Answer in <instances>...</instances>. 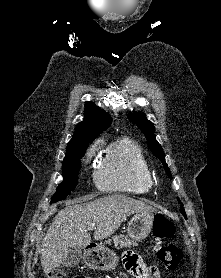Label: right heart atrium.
Here are the masks:
<instances>
[{"label":"right heart atrium","mask_w":221,"mask_h":278,"mask_svg":"<svg viewBox=\"0 0 221 278\" xmlns=\"http://www.w3.org/2000/svg\"><path fill=\"white\" fill-rule=\"evenodd\" d=\"M97 150V144L91 146V148L87 152V157L90 158Z\"/></svg>","instance_id":"1"}]
</instances>
